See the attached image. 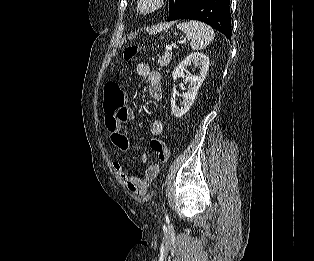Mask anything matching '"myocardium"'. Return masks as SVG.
<instances>
[{
  "label": "myocardium",
  "mask_w": 314,
  "mask_h": 261,
  "mask_svg": "<svg viewBox=\"0 0 314 261\" xmlns=\"http://www.w3.org/2000/svg\"><path fill=\"white\" fill-rule=\"evenodd\" d=\"M167 0H136V10L144 15L154 14L165 8Z\"/></svg>",
  "instance_id": "myocardium-1"
}]
</instances>
